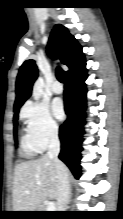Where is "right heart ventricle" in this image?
<instances>
[{
	"mask_svg": "<svg viewBox=\"0 0 123 219\" xmlns=\"http://www.w3.org/2000/svg\"><path fill=\"white\" fill-rule=\"evenodd\" d=\"M21 151L22 154L26 157H32L36 153H38L40 150L36 147V145L33 143L30 135L27 133H24L21 137Z\"/></svg>",
	"mask_w": 123,
	"mask_h": 219,
	"instance_id": "right-heart-ventricle-1",
	"label": "right heart ventricle"
}]
</instances>
